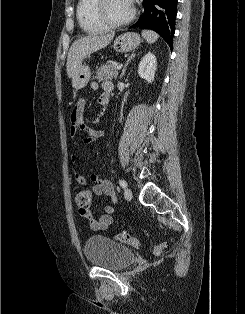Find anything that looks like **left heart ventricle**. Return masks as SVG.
Masks as SVG:
<instances>
[{
	"label": "left heart ventricle",
	"instance_id": "1",
	"mask_svg": "<svg viewBox=\"0 0 245 314\" xmlns=\"http://www.w3.org/2000/svg\"><path fill=\"white\" fill-rule=\"evenodd\" d=\"M104 11L110 21L120 22L130 16L132 5L127 0H106Z\"/></svg>",
	"mask_w": 245,
	"mask_h": 314
}]
</instances>
